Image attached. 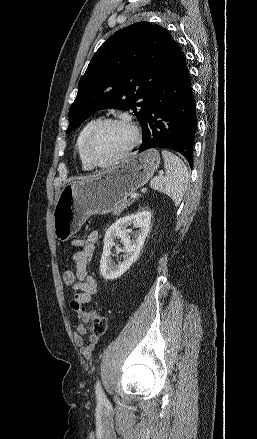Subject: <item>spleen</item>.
I'll use <instances>...</instances> for the list:
<instances>
[{"instance_id": "1", "label": "spleen", "mask_w": 257, "mask_h": 439, "mask_svg": "<svg viewBox=\"0 0 257 439\" xmlns=\"http://www.w3.org/2000/svg\"><path fill=\"white\" fill-rule=\"evenodd\" d=\"M164 158L165 175L154 177L150 186L168 195L178 206L185 194L188 185V170L183 161L168 150H162Z\"/></svg>"}]
</instances>
